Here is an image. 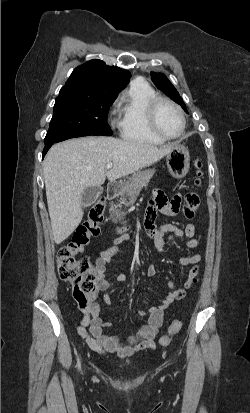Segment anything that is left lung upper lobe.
<instances>
[{"label":"left lung upper lobe","instance_id":"left-lung-upper-lobe-1","mask_svg":"<svg viewBox=\"0 0 250 413\" xmlns=\"http://www.w3.org/2000/svg\"><path fill=\"white\" fill-rule=\"evenodd\" d=\"M151 78L154 84L160 90H162L176 103L181 105V107L187 112V108L183 99L179 96L177 90L174 88V86L171 84V82L167 79V77L164 74L151 72Z\"/></svg>","mask_w":250,"mask_h":413}]
</instances>
